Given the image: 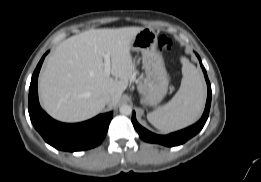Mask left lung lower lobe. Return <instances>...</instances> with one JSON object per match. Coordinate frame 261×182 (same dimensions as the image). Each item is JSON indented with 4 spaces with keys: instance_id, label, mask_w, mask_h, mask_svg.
Wrapping results in <instances>:
<instances>
[{
    "instance_id": "obj_1",
    "label": "left lung lower lobe",
    "mask_w": 261,
    "mask_h": 182,
    "mask_svg": "<svg viewBox=\"0 0 261 182\" xmlns=\"http://www.w3.org/2000/svg\"><path fill=\"white\" fill-rule=\"evenodd\" d=\"M197 57L199 59L201 68L204 72V76H205L207 86H208L206 107H205V110H204V113H203L201 119L196 124L186 128V129H183L181 131L171 133L169 135H157V134H154V133L148 131L144 127H142L136 121L135 112H133L132 119H131L132 123H133L135 129L137 130L139 136L144 141L150 142V143H157V144H161V145H165V146H169V147L177 146V145L183 144L184 142L189 140L191 137L195 136L203 128V126L208 118L210 105H211V85H210L206 70H205L204 66L202 65L199 55H197Z\"/></svg>"
}]
</instances>
